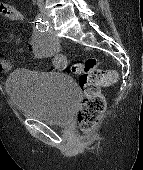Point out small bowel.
Listing matches in <instances>:
<instances>
[{
	"label": "small bowel",
	"instance_id": "obj_1",
	"mask_svg": "<svg viewBox=\"0 0 143 170\" xmlns=\"http://www.w3.org/2000/svg\"><path fill=\"white\" fill-rule=\"evenodd\" d=\"M0 17H3L9 21H14V22H24L25 21V15L21 10H19L13 6H10V5H6V4H0ZM28 49L39 57L46 56V52L40 50L36 46V44L33 42H30L28 44ZM60 57L65 61L64 57H62V56H60ZM53 66L55 68L59 69L57 57L53 61ZM10 68H11V64L9 61L0 59V72H6V71L10 70Z\"/></svg>",
	"mask_w": 143,
	"mask_h": 170
}]
</instances>
